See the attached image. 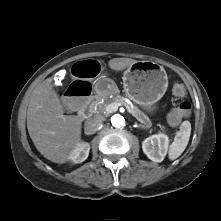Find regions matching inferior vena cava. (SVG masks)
<instances>
[{"label":"inferior vena cava","instance_id":"inferior-vena-cava-1","mask_svg":"<svg viewBox=\"0 0 221 221\" xmlns=\"http://www.w3.org/2000/svg\"><path fill=\"white\" fill-rule=\"evenodd\" d=\"M103 120L100 118H89L85 121V130L88 133H95L102 125Z\"/></svg>","mask_w":221,"mask_h":221}]
</instances>
